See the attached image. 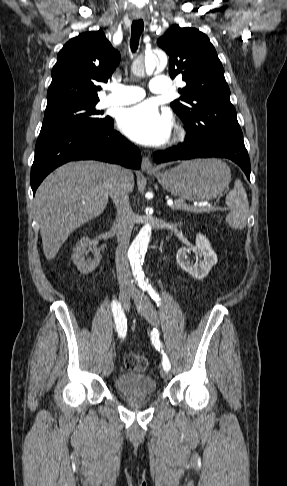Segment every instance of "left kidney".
<instances>
[{
  "label": "left kidney",
  "mask_w": 287,
  "mask_h": 486,
  "mask_svg": "<svg viewBox=\"0 0 287 486\" xmlns=\"http://www.w3.org/2000/svg\"><path fill=\"white\" fill-rule=\"evenodd\" d=\"M191 251H194L196 256L200 257L198 265H193L188 257ZM176 260L185 272L197 280L204 279L218 261L209 240L201 233L196 235V246L194 248L182 247L178 250Z\"/></svg>",
  "instance_id": "left-kidney-1"
}]
</instances>
